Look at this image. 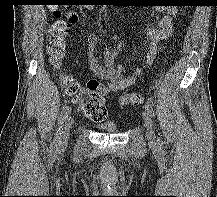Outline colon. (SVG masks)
I'll return each instance as SVG.
<instances>
[{
  "instance_id": "colon-1",
  "label": "colon",
  "mask_w": 217,
  "mask_h": 197,
  "mask_svg": "<svg viewBox=\"0 0 217 197\" xmlns=\"http://www.w3.org/2000/svg\"><path fill=\"white\" fill-rule=\"evenodd\" d=\"M57 0H51L50 11L55 21L48 29L47 50L52 64L59 68L67 49L68 28L65 21L61 19V12ZM61 85L67 96L71 97L73 104L90 120L102 122L106 119L108 111L105 105L107 89L105 85L96 81H87L85 87L81 88L79 83L69 75L61 77ZM121 105L139 106L143 104L144 97L140 93L124 95L119 100Z\"/></svg>"
}]
</instances>
